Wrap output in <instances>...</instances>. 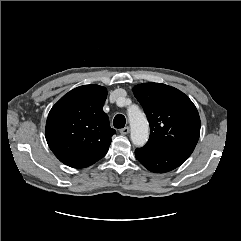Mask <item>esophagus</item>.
Here are the masks:
<instances>
[{"label":"esophagus","instance_id":"1","mask_svg":"<svg viewBox=\"0 0 241 241\" xmlns=\"http://www.w3.org/2000/svg\"><path fill=\"white\" fill-rule=\"evenodd\" d=\"M129 131H130V129H129V127L127 126V127L122 128V129L120 130V133H121L122 135H127V134L129 133Z\"/></svg>","mask_w":241,"mask_h":241}]
</instances>
